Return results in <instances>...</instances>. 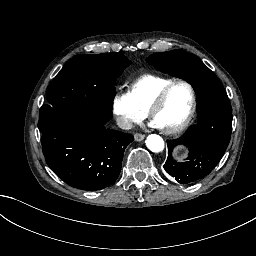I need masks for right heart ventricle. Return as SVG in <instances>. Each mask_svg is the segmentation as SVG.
<instances>
[{"instance_id":"e07e8e85","label":"right heart ventricle","mask_w":256,"mask_h":256,"mask_svg":"<svg viewBox=\"0 0 256 256\" xmlns=\"http://www.w3.org/2000/svg\"><path fill=\"white\" fill-rule=\"evenodd\" d=\"M172 81V78L155 79L154 83L151 85L139 89H134L131 97L138 100L142 106V109H145Z\"/></svg>"}]
</instances>
